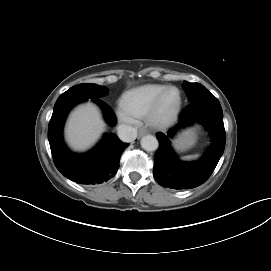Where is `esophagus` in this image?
Listing matches in <instances>:
<instances>
[{
  "mask_svg": "<svg viewBox=\"0 0 271 271\" xmlns=\"http://www.w3.org/2000/svg\"><path fill=\"white\" fill-rule=\"evenodd\" d=\"M147 133H148V130H147V129L141 128V129L139 130V136H143V135H145V134H147Z\"/></svg>",
  "mask_w": 271,
  "mask_h": 271,
  "instance_id": "obj_1",
  "label": "esophagus"
}]
</instances>
